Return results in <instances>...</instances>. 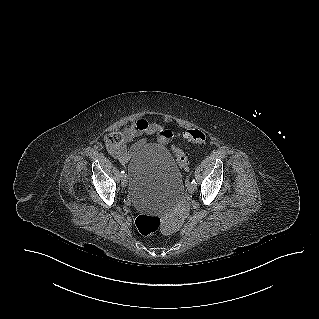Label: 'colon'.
Segmentation results:
<instances>
[{
	"label": "colon",
	"mask_w": 319,
	"mask_h": 319,
	"mask_svg": "<svg viewBox=\"0 0 319 319\" xmlns=\"http://www.w3.org/2000/svg\"><path fill=\"white\" fill-rule=\"evenodd\" d=\"M176 136L180 140H187L194 144H204L207 140L206 133L196 128L180 127L176 131ZM172 154L179 167L185 172L188 171L189 162L186 153L174 147ZM135 224L139 232L146 236L157 233L163 227L161 219L153 215H139Z\"/></svg>",
	"instance_id": "5ec220e1"
}]
</instances>
